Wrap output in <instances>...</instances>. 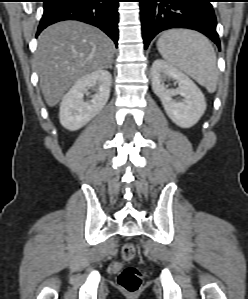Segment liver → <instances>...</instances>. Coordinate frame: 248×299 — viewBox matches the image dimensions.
<instances>
[{
    "mask_svg": "<svg viewBox=\"0 0 248 299\" xmlns=\"http://www.w3.org/2000/svg\"><path fill=\"white\" fill-rule=\"evenodd\" d=\"M113 43L101 30L79 21H63L46 28L35 55L40 87L53 107L81 77L113 62Z\"/></svg>",
    "mask_w": 248,
    "mask_h": 299,
    "instance_id": "liver-1",
    "label": "liver"
}]
</instances>
